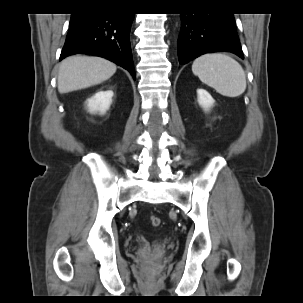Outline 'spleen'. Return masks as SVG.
<instances>
[{"label":"spleen","mask_w":303,"mask_h":303,"mask_svg":"<svg viewBox=\"0 0 303 303\" xmlns=\"http://www.w3.org/2000/svg\"><path fill=\"white\" fill-rule=\"evenodd\" d=\"M192 72L201 82L226 97H238L246 89V76L241 65L223 53L205 54L195 59Z\"/></svg>","instance_id":"1"}]
</instances>
